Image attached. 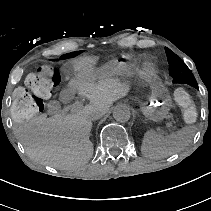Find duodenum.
Here are the masks:
<instances>
[{
  "instance_id": "duodenum-1",
  "label": "duodenum",
  "mask_w": 211,
  "mask_h": 211,
  "mask_svg": "<svg viewBox=\"0 0 211 211\" xmlns=\"http://www.w3.org/2000/svg\"><path fill=\"white\" fill-rule=\"evenodd\" d=\"M80 88H81V85L78 82H73L71 84V91L72 92H78L80 90Z\"/></svg>"
}]
</instances>
